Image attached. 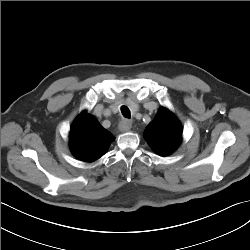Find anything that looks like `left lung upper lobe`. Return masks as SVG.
Listing matches in <instances>:
<instances>
[{
	"instance_id": "left-lung-upper-lobe-1",
	"label": "left lung upper lobe",
	"mask_w": 250,
	"mask_h": 250,
	"mask_svg": "<svg viewBox=\"0 0 250 250\" xmlns=\"http://www.w3.org/2000/svg\"><path fill=\"white\" fill-rule=\"evenodd\" d=\"M145 139L159 155L176 150L182 139V126L168 109L161 107L155 119L146 127Z\"/></svg>"
}]
</instances>
